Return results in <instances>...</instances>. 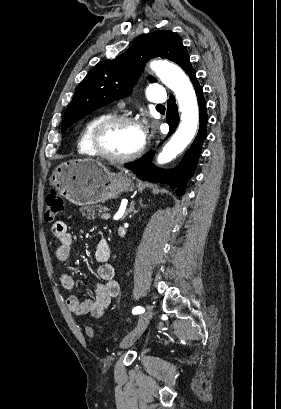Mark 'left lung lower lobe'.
Wrapping results in <instances>:
<instances>
[{
    "mask_svg": "<svg viewBox=\"0 0 281 409\" xmlns=\"http://www.w3.org/2000/svg\"><path fill=\"white\" fill-rule=\"evenodd\" d=\"M193 83L198 99L200 125L198 134L189 150L183 156L182 161L173 170H163L152 164L153 154L148 153L138 161L126 164L125 167L132 170L140 179L157 183H167L173 189L177 188L176 194L181 196L184 193L186 181L195 170L198 158L200 156L203 141L207 132V112L206 103L203 97L202 88L196 79V72L193 70L188 74ZM179 122V115L175 99L171 95L167 106V123L169 124V135H171Z\"/></svg>",
    "mask_w": 281,
    "mask_h": 409,
    "instance_id": "left-lung-lower-lobe-1",
    "label": "left lung lower lobe"
}]
</instances>
